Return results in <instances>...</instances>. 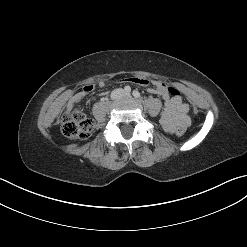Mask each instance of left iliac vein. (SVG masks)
Listing matches in <instances>:
<instances>
[{
    "label": "left iliac vein",
    "mask_w": 247,
    "mask_h": 247,
    "mask_svg": "<svg viewBox=\"0 0 247 247\" xmlns=\"http://www.w3.org/2000/svg\"><path fill=\"white\" fill-rule=\"evenodd\" d=\"M125 97H130V93H124Z\"/></svg>",
    "instance_id": "obj_1"
}]
</instances>
